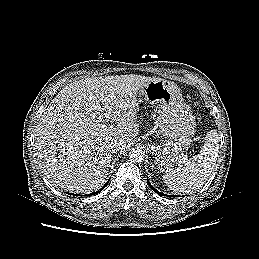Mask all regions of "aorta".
Masks as SVG:
<instances>
[{
    "instance_id": "obj_1",
    "label": "aorta",
    "mask_w": 259,
    "mask_h": 259,
    "mask_svg": "<svg viewBox=\"0 0 259 259\" xmlns=\"http://www.w3.org/2000/svg\"><path fill=\"white\" fill-rule=\"evenodd\" d=\"M145 153L140 148H133L129 153V158L134 163H140L144 160Z\"/></svg>"
}]
</instances>
